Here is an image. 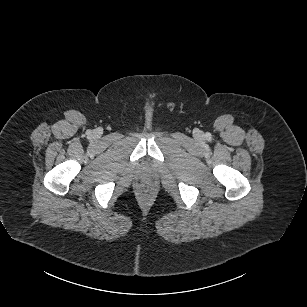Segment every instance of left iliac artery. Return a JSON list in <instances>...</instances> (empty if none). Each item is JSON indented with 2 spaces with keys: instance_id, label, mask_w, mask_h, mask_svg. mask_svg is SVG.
I'll return each mask as SVG.
<instances>
[{
  "instance_id": "obj_1",
  "label": "left iliac artery",
  "mask_w": 307,
  "mask_h": 307,
  "mask_svg": "<svg viewBox=\"0 0 307 307\" xmlns=\"http://www.w3.org/2000/svg\"><path fill=\"white\" fill-rule=\"evenodd\" d=\"M206 137L209 139V138H210V135H209V134H207V135H206Z\"/></svg>"
}]
</instances>
